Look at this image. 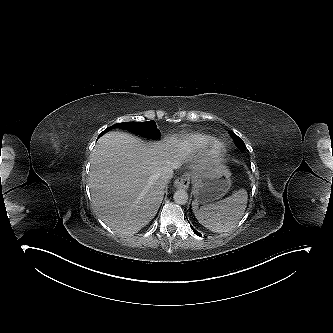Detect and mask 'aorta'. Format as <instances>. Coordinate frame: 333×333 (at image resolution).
<instances>
[{
	"mask_svg": "<svg viewBox=\"0 0 333 333\" xmlns=\"http://www.w3.org/2000/svg\"><path fill=\"white\" fill-rule=\"evenodd\" d=\"M173 198L175 203L184 205L188 201V193L184 189H179L174 193Z\"/></svg>",
	"mask_w": 333,
	"mask_h": 333,
	"instance_id": "obj_1",
	"label": "aorta"
}]
</instances>
